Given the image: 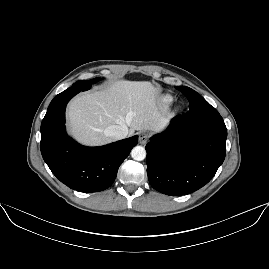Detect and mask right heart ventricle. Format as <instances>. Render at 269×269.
I'll return each instance as SVG.
<instances>
[{
	"instance_id": "e07e8e85",
	"label": "right heart ventricle",
	"mask_w": 269,
	"mask_h": 269,
	"mask_svg": "<svg viewBox=\"0 0 269 269\" xmlns=\"http://www.w3.org/2000/svg\"><path fill=\"white\" fill-rule=\"evenodd\" d=\"M163 101H164V103L168 104V103H170L172 101V97L171 96H165L163 98Z\"/></svg>"
}]
</instances>
